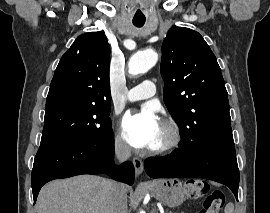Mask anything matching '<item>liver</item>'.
Wrapping results in <instances>:
<instances>
[{
    "label": "liver",
    "instance_id": "liver-1",
    "mask_svg": "<svg viewBox=\"0 0 270 213\" xmlns=\"http://www.w3.org/2000/svg\"><path fill=\"white\" fill-rule=\"evenodd\" d=\"M111 191L112 181L100 176L55 180L41 189L37 213H110Z\"/></svg>",
    "mask_w": 270,
    "mask_h": 213
}]
</instances>
